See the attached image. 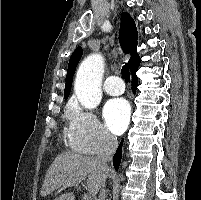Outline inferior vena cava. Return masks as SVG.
<instances>
[{
	"label": "inferior vena cava",
	"instance_id": "obj_1",
	"mask_svg": "<svg viewBox=\"0 0 201 200\" xmlns=\"http://www.w3.org/2000/svg\"><path fill=\"white\" fill-rule=\"evenodd\" d=\"M117 147H118L117 138L109 133H105L102 138L100 151L96 157V161L98 162L100 167L104 170V172L108 171V162L112 159V156L115 153ZM104 187L105 183H103L102 185L98 200H104L106 197Z\"/></svg>",
	"mask_w": 201,
	"mask_h": 200
}]
</instances>
